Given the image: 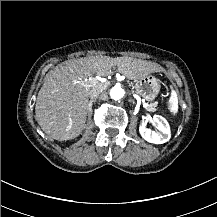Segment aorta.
Returning <instances> with one entry per match:
<instances>
[{
	"label": "aorta",
	"mask_w": 217,
	"mask_h": 217,
	"mask_svg": "<svg viewBox=\"0 0 217 217\" xmlns=\"http://www.w3.org/2000/svg\"><path fill=\"white\" fill-rule=\"evenodd\" d=\"M109 94L111 99L119 100L123 97L124 91L120 86H114Z\"/></svg>",
	"instance_id": "1"
}]
</instances>
